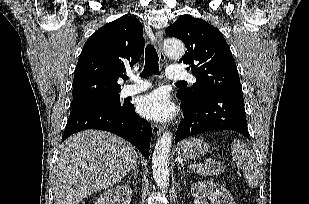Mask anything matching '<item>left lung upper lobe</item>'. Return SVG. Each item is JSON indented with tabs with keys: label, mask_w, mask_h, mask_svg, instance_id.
Returning a JSON list of instances; mask_svg holds the SVG:
<instances>
[{
	"label": "left lung upper lobe",
	"mask_w": 309,
	"mask_h": 204,
	"mask_svg": "<svg viewBox=\"0 0 309 204\" xmlns=\"http://www.w3.org/2000/svg\"><path fill=\"white\" fill-rule=\"evenodd\" d=\"M182 40L187 52L179 63L188 64L196 77L191 88L178 90L177 97L193 100L207 93H242L235 61L222 33L206 21L182 15L165 30Z\"/></svg>",
	"instance_id": "obj_1"
}]
</instances>
